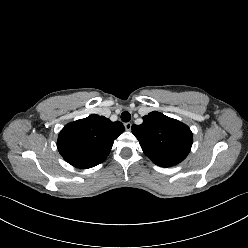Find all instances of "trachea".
I'll list each match as a JSON object with an SVG mask.
<instances>
[{
	"instance_id": "trachea-1",
	"label": "trachea",
	"mask_w": 248,
	"mask_h": 248,
	"mask_svg": "<svg viewBox=\"0 0 248 248\" xmlns=\"http://www.w3.org/2000/svg\"><path fill=\"white\" fill-rule=\"evenodd\" d=\"M131 119V114L128 112V111H124L122 114H121V120L123 122H129Z\"/></svg>"
}]
</instances>
